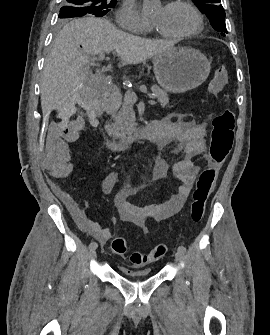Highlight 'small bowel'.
<instances>
[{
  "instance_id": "obj_1",
  "label": "small bowel",
  "mask_w": 270,
  "mask_h": 335,
  "mask_svg": "<svg viewBox=\"0 0 270 335\" xmlns=\"http://www.w3.org/2000/svg\"><path fill=\"white\" fill-rule=\"evenodd\" d=\"M160 135L157 139V150L160 151L167 146H171L172 152L181 157L174 163L160 156L155 157V166L152 179L160 180L174 176L180 182L177 192L169 196L166 200L147 206H135L130 204L125 196L133 192L135 188L123 189L114 202V207L119 219L125 223H132L143 230L148 228L150 222L162 221L180 211L184 205L190 191L193 188L198 166L194 163V157L204 155L206 151L204 123H193L182 120H172L164 118L159 121ZM79 120L74 121H47L44 141L46 142V152L49 158H41L40 164L46 165V169H54L57 176L69 178V169H78L79 163L70 158L67 151H74V144H64L65 140H74L76 130L80 126ZM61 137V138H59ZM119 174L117 171L107 173L100 180L99 190L102 195L111 193L117 183ZM64 199L73 204L70 196L64 195ZM76 222L80 229L93 236L98 241L105 243L111 237L110 230L102 224L91 220L85 210H74Z\"/></svg>"
}]
</instances>
